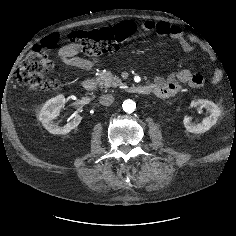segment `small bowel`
Returning a JSON list of instances; mask_svg holds the SVG:
<instances>
[{
	"label": "small bowel",
	"mask_w": 236,
	"mask_h": 236,
	"mask_svg": "<svg viewBox=\"0 0 236 236\" xmlns=\"http://www.w3.org/2000/svg\"><path fill=\"white\" fill-rule=\"evenodd\" d=\"M140 28L158 36H169L177 42L181 50L188 54L195 51V44L198 42L196 34L185 33L180 26L163 21H145L140 25ZM78 54L79 48L74 44H65L58 49V55L65 65L82 71L92 70L99 64L101 59L99 56L83 58L79 57ZM221 79L222 72L216 70L212 74L210 82L212 84H218ZM203 83L204 79L201 74L190 70H181L167 76L155 77L150 86L152 87V93L157 97L169 98L175 96L181 90V84L199 88Z\"/></svg>",
	"instance_id": "obj_1"
}]
</instances>
